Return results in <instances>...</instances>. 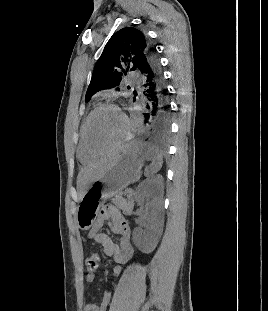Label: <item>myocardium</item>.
Returning <instances> with one entry per match:
<instances>
[{"label":"myocardium","mask_w":268,"mask_h":311,"mask_svg":"<svg viewBox=\"0 0 268 311\" xmlns=\"http://www.w3.org/2000/svg\"><path fill=\"white\" fill-rule=\"evenodd\" d=\"M105 108H111L114 109L116 111H118L123 119L124 122V130L122 135L120 136V138L118 139V141L109 149L105 150V151H97L95 150L89 143L88 140V127H89V123L90 120L92 119V117L100 110L105 109ZM130 134V122L128 119V116L125 114V112L118 107L117 105L110 103V102H106V103H102L100 105H98L97 107H95L86 117L84 123H83V130H82V135H83V142L85 145V148L87 149V151L94 155V156H104L107 155L113 151H115L116 149H118L129 137Z\"/></svg>","instance_id":"myocardium-1"}]
</instances>
